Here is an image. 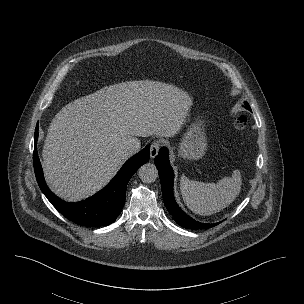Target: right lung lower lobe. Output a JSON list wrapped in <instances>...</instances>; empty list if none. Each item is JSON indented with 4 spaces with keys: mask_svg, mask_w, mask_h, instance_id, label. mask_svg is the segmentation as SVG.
<instances>
[{
    "mask_svg": "<svg viewBox=\"0 0 304 304\" xmlns=\"http://www.w3.org/2000/svg\"><path fill=\"white\" fill-rule=\"evenodd\" d=\"M37 139L38 125L35 129L33 164L40 189L63 216L82 226H107L114 222L124 206L126 187L130 178L137 169L147 163L150 158V148L146 146L130 158L112 181L99 193L78 203H67L53 194L45 183L41 163L37 154Z\"/></svg>",
    "mask_w": 304,
    "mask_h": 304,
    "instance_id": "98d812e1",
    "label": "right lung lower lobe"
}]
</instances>
